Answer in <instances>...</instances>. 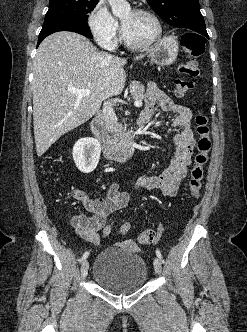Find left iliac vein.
<instances>
[{"instance_id":"4c4485c4","label":"left iliac vein","mask_w":247,"mask_h":332,"mask_svg":"<svg viewBox=\"0 0 247 332\" xmlns=\"http://www.w3.org/2000/svg\"><path fill=\"white\" fill-rule=\"evenodd\" d=\"M154 269L158 274L161 273L162 266H161V259L159 257H156L154 259Z\"/></svg>"}]
</instances>
